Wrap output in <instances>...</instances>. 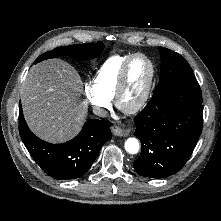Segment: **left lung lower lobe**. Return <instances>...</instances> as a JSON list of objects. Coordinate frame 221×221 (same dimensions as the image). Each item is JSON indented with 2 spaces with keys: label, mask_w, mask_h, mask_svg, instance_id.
<instances>
[{
  "label": "left lung lower lobe",
  "mask_w": 221,
  "mask_h": 221,
  "mask_svg": "<svg viewBox=\"0 0 221 221\" xmlns=\"http://www.w3.org/2000/svg\"><path fill=\"white\" fill-rule=\"evenodd\" d=\"M202 94L196 79L173 85L152 96L134 117V133L142 144L133 162L142 176L166 178L178 172L190 158L202 132Z\"/></svg>",
  "instance_id": "left-lung-lower-lobe-1"
}]
</instances>
